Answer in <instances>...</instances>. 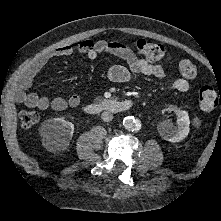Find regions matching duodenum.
I'll use <instances>...</instances> for the list:
<instances>
[{
  "instance_id": "1",
  "label": "duodenum",
  "mask_w": 221,
  "mask_h": 221,
  "mask_svg": "<svg viewBox=\"0 0 221 221\" xmlns=\"http://www.w3.org/2000/svg\"><path fill=\"white\" fill-rule=\"evenodd\" d=\"M132 105L133 102L131 100L119 101L116 99H108L86 105L85 111L90 114H98L101 112L118 113L128 110Z\"/></svg>"
}]
</instances>
